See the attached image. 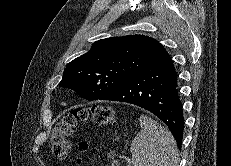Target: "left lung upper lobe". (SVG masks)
<instances>
[{"label": "left lung upper lobe", "mask_w": 231, "mask_h": 166, "mask_svg": "<svg viewBox=\"0 0 231 166\" xmlns=\"http://www.w3.org/2000/svg\"><path fill=\"white\" fill-rule=\"evenodd\" d=\"M165 48L143 35L96 41L89 52L67 64L60 86L98 100L158 58Z\"/></svg>", "instance_id": "1"}]
</instances>
